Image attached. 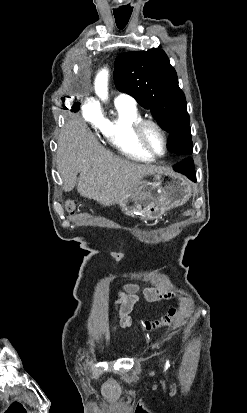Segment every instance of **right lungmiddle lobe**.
I'll use <instances>...</instances> for the list:
<instances>
[{"mask_svg":"<svg viewBox=\"0 0 247 413\" xmlns=\"http://www.w3.org/2000/svg\"><path fill=\"white\" fill-rule=\"evenodd\" d=\"M71 108H72V111L76 112V111L79 110L80 104H79V103H75Z\"/></svg>","mask_w":247,"mask_h":413,"instance_id":"dd1d6c3e","label":"right lung middle lobe"}]
</instances>
